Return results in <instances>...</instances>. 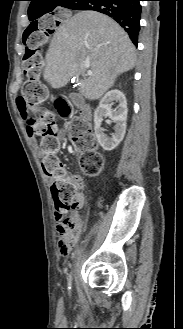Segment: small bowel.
Returning a JSON list of instances; mask_svg holds the SVG:
<instances>
[{"mask_svg":"<svg viewBox=\"0 0 183 329\" xmlns=\"http://www.w3.org/2000/svg\"><path fill=\"white\" fill-rule=\"evenodd\" d=\"M21 118L26 125V130H27L29 137L32 139L33 143L36 144L32 129L30 127V118H31L30 114H21ZM69 177L78 184V191H77L78 207L77 208H80L83 206L84 201H85V197H84V193H83L84 182L82 181V179L80 177H78L76 175H69ZM67 218L70 219V221L77 227L78 232H79L82 228V221H81V218H80V215L78 214V212L73 211ZM57 231L61 234V239H60L59 245H58L59 252L61 255L67 256L70 253L73 245L66 243V240H65L66 236L62 230V225L59 220L57 223Z\"/></svg>","mask_w":183,"mask_h":329,"instance_id":"small-bowel-1","label":"small bowel"}]
</instances>
